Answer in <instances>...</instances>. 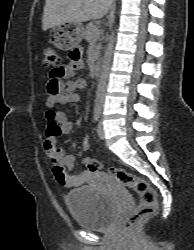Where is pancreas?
Here are the masks:
<instances>
[{"mask_svg": "<svg viewBox=\"0 0 194 250\" xmlns=\"http://www.w3.org/2000/svg\"><path fill=\"white\" fill-rule=\"evenodd\" d=\"M101 35V30L93 23H88L86 26V30L84 31V38L87 41H98ZM100 45H95L94 57L98 58Z\"/></svg>", "mask_w": 194, "mask_h": 250, "instance_id": "pancreas-1", "label": "pancreas"}]
</instances>
